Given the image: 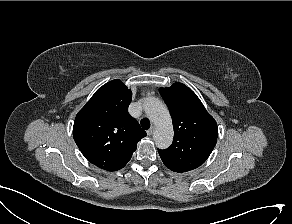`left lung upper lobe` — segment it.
<instances>
[{
	"instance_id": "5c2ea615",
	"label": "left lung upper lobe",
	"mask_w": 292,
	"mask_h": 224,
	"mask_svg": "<svg viewBox=\"0 0 292 224\" xmlns=\"http://www.w3.org/2000/svg\"><path fill=\"white\" fill-rule=\"evenodd\" d=\"M173 122L172 145L158 149L166 167L174 172H186L201 166L217 141L218 127L197 95L186 85L174 83L160 88Z\"/></svg>"
}]
</instances>
